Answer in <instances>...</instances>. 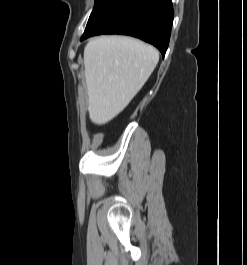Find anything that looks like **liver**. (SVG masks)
<instances>
[{"mask_svg": "<svg viewBox=\"0 0 247 265\" xmlns=\"http://www.w3.org/2000/svg\"><path fill=\"white\" fill-rule=\"evenodd\" d=\"M159 61L152 45L126 36H101L84 49L90 120L105 124L122 112Z\"/></svg>", "mask_w": 247, "mask_h": 265, "instance_id": "1", "label": "liver"}]
</instances>
